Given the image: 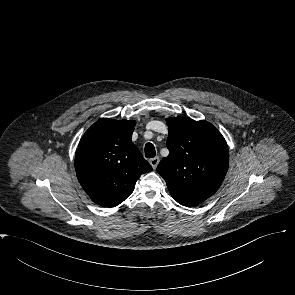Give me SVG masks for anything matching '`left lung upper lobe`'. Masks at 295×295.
I'll list each match as a JSON object with an SVG mask.
<instances>
[{
    "instance_id": "5c2ea615",
    "label": "left lung upper lobe",
    "mask_w": 295,
    "mask_h": 295,
    "mask_svg": "<svg viewBox=\"0 0 295 295\" xmlns=\"http://www.w3.org/2000/svg\"><path fill=\"white\" fill-rule=\"evenodd\" d=\"M169 155L157 172L180 204L196 206L212 196L227 173V143L211 123L183 116L167 119Z\"/></svg>"
}]
</instances>
